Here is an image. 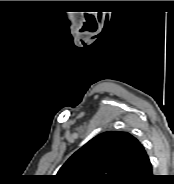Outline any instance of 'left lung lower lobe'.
<instances>
[{
	"label": "left lung lower lobe",
	"instance_id": "left-lung-lower-lobe-1",
	"mask_svg": "<svg viewBox=\"0 0 174 184\" xmlns=\"http://www.w3.org/2000/svg\"><path fill=\"white\" fill-rule=\"evenodd\" d=\"M153 178L154 175H152L151 163L143 146L141 145L126 184H150Z\"/></svg>",
	"mask_w": 174,
	"mask_h": 184
}]
</instances>
